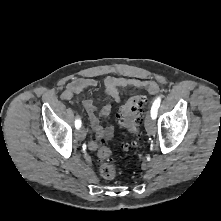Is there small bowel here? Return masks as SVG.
Instances as JSON below:
<instances>
[{
	"mask_svg": "<svg viewBox=\"0 0 221 221\" xmlns=\"http://www.w3.org/2000/svg\"><path fill=\"white\" fill-rule=\"evenodd\" d=\"M97 86V81L94 78H81L69 82L61 97L64 100H70L78 94H82L88 90H91ZM103 87L106 96L114 101L115 103L121 102L120 89L127 87L141 88L146 87L151 91L156 90V85L152 81H144L133 77H113L108 76L103 82ZM84 107L86 108L91 122V127L95 132V138L91 139L89 142V147L92 150L98 148L99 144L105 140L110 139L114 133V127L112 125L103 126L100 123L101 117L110 116L112 112V105L106 103L101 109H99L93 100L86 99L84 102Z\"/></svg>",
	"mask_w": 221,
	"mask_h": 221,
	"instance_id": "c3829d8e",
	"label": "small bowel"
}]
</instances>
